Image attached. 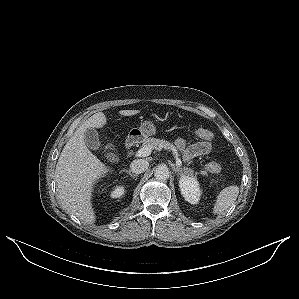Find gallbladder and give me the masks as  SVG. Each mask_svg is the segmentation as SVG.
<instances>
[{
    "instance_id": "gallbladder-1",
    "label": "gallbladder",
    "mask_w": 299,
    "mask_h": 299,
    "mask_svg": "<svg viewBox=\"0 0 299 299\" xmlns=\"http://www.w3.org/2000/svg\"><path fill=\"white\" fill-rule=\"evenodd\" d=\"M84 137H85L86 145L91 150L98 151L101 148L98 132L94 128H87L84 133ZM105 157L111 160L113 159L114 155L107 153L105 154Z\"/></svg>"
}]
</instances>
